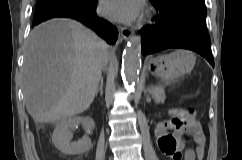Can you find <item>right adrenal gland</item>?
Here are the masks:
<instances>
[{"label":"right adrenal gland","instance_id":"2a0ac1e0","mask_svg":"<svg viewBox=\"0 0 242 160\" xmlns=\"http://www.w3.org/2000/svg\"><path fill=\"white\" fill-rule=\"evenodd\" d=\"M100 91V93H101V95L103 94V77H101V79H100V85H99V87L97 88V90H96V93H95V96H97L98 95V92Z\"/></svg>","mask_w":242,"mask_h":160}]
</instances>
